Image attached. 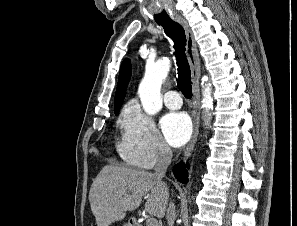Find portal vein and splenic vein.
<instances>
[{
  "label": "portal vein and splenic vein",
  "mask_w": 297,
  "mask_h": 226,
  "mask_svg": "<svg viewBox=\"0 0 297 226\" xmlns=\"http://www.w3.org/2000/svg\"><path fill=\"white\" fill-rule=\"evenodd\" d=\"M147 226H157V220L155 218H149L146 220Z\"/></svg>",
  "instance_id": "1"
}]
</instances>
